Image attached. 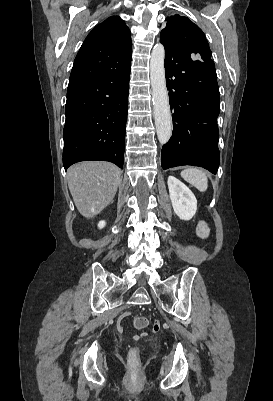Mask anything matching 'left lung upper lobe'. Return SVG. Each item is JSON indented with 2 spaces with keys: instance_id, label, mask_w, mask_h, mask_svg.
I'll return each mask as SVG.
<instances>
[{
  "instance_id": "5c2ea615",
  "label": "left lung upper lobe",
  "mask_w": 273,
  "mask_h": 401,
  "mask_svg": "<svg viewBox=\"0 0 273 401\" xmlns=\"http://www.w3.org/2000/svg\"><path fill=\"white\" fill-rule=\"evenodd\" d=\"M161 31L160 40L165 51L178 52L200 60H211V50L202 30L189 18L173 15Z\"/></svg>"
}]
</instances>
